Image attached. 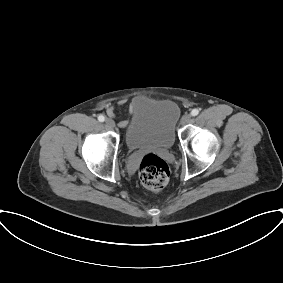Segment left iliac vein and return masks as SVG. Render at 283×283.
I'll return each instance as SVG.
<instances>
[{
  "instance_id": "obj_1",
  "label": "left iliac vein",
  "mask_w": 283,
  "mask_h": 283,
  "mask_svg": "<svg viewBox=\"0 0 283 283\" xmlns=\"http://www.w3.org/2000/svg\"><path fill=\"white\" fill-rule=\"evenodd\" d=\"M191 121V115L190 114H185L183 117H182V120H181V123L182 124H187Z\"/></svg>"
}]
</instances>
